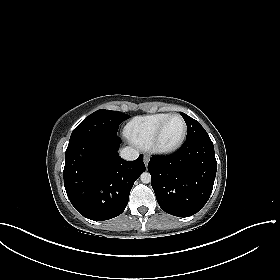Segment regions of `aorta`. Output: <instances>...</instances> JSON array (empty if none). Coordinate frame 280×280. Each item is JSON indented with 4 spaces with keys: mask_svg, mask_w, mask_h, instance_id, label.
<instances>
[{
    "mask_svg": "<svg viewBox=\"0 0 280 280\" xmlns=\"http://www.w3.org/2000/svg\"><path fill=\"white\" fill-rule=\"evenodd\" d=\"M140 179L143 183L147 184L151 182V175L148 172H144L141 176Z\"/></svg>",
    "mask_w": 280,
    "mask_h": 280,
    "instance_id": "obj_1",
    "label": "aorta"
}]
</instances>
